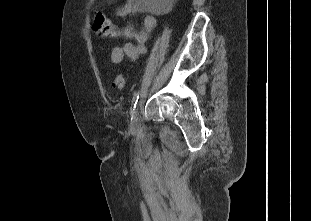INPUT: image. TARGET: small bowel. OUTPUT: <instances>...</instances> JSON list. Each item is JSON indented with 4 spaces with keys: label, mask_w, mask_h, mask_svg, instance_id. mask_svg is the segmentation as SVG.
<instances>
[{
    "label": "small bowel",
    "mask_w": 311,
    "mask_h": 221,
    "mask_svg": "<svg viewBox=\"0 0 311 221\" xmlns=\"http://www.w3.org/2000/svg\"><path fill=\"white\" fill-rule=\"evenodd\" d=\"M144 11L141 0H127L121 6L116 14L119 17H124L131 14H136ZM157 24L156 18L153 15L147 14L143 20V27L137 30L133 25H128L122 30L124 38L133 42H125L113 48L111 53V62L119 64L124 57L131 60L137 59L139 56L146 54V42L150 33L155 29Z\"/></svg>",
    "instance_id": "obj_1"
}]
</instances>
